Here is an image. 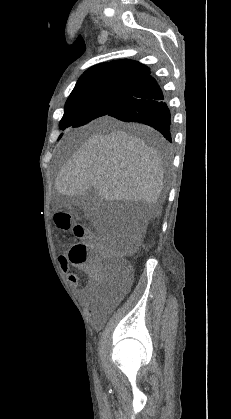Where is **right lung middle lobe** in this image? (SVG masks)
I'll return each mask as SVG.
<instances>
[{"mask_svg":"<svg viewBox=\"0 0 231 419\" xmlns=\"http://www.w3.org/2000/svg\"><path fill=\"white\" fill-rule=\"evenodd\" d=\"M134 89L127 85H104L84 88L70 94L65 104V112L59 127H79L107 115L121 103Z\"/></svg>","mask_w":231,"mask_h":419,"instance_id":"right-lung-middle-lobe-1","label":"right lung middle lobe"}]
</instances>
